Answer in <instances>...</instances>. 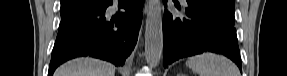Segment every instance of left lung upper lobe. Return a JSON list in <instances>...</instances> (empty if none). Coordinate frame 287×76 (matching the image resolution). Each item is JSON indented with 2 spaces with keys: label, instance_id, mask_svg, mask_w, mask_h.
Masks as SVG:
<instances>
[{
  "label": "left lung upper lobe",
  "instance_id": "5c2ea615",
  "mask_svg": "<svg viewBox=\"0 0 287 76\" xmlns=\"http://www.w3.org/2000/svg\"><path fill=\"white\" fill-rule=\"evenodd\" d=\"M187 3L222 18L234 27V0H187Z\"/></svg>",
  "mask_w": 287,
  "mask_h": 76
}]
</instances>
